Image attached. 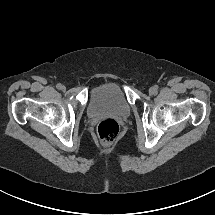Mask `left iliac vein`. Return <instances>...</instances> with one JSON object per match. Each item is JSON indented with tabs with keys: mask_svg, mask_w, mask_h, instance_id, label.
<instances>
[{
	"mask_svg": "<svg viewBox=\"0 0 215 215\" xmlns=\"http://www.w3.org/2000/svg\"><path fill=\"white\" fill-rule=\"evenodd\" d=\"M156 92H157V90L155 89V87L149 88V94H150V95H155Z\"/></svg>",
	"mask_w": 215,
	"mask_h": 215,
	"instance_id": "obj_1",
	"label": "left iliac vein"
}]
</instances>
